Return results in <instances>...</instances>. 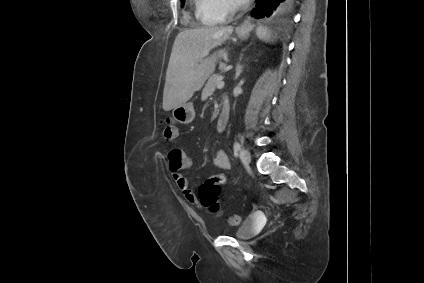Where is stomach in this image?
Masks as SVG:
<instances>
[{
  "label": "stomach",
  "instance_id": "obj_1",
  "mask_svg": "<svg viewBox=\"0 0 424 283\" xmlns=\"http://www.w3.org/2000/svg\"><path fill=\"white\" fill-rule=\"evenodd\" d=\"M237 35L240 39L248 37V31H238ZM172 115L174 119L181 124H189L195 118V110L193 103H185L173 109Z\"/></svg>",
  "mask_w": 424,
  "mask_h": 283
}]
</instances>
